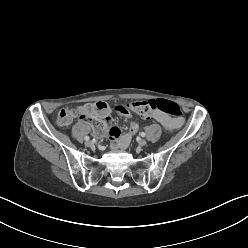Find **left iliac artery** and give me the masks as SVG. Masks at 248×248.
Returning <instances> with one entry per match:
<instances>
[{
  "mask_svg": "<svg viewBox=\"0 0 248 248\" xmlns=\"http://www.w3.org/2000/svg\"><path fill=\"white\" fill-rule=\"evenodd\" d=\"M140 135H141L142 137H145L146 134H145L144 132H141Z\"/></svg>",
  "mask_w": 248,
  "mask_h": 248,
  "instance_id": "obj_1",
  "label": "left iliac artery"
}]
</instances>
